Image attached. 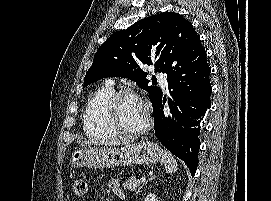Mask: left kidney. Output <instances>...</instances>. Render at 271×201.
Segmentation results:
<instances>
[{"label":"left kidney","mask_w":271,"mask_h":201,"mask_svg":"<svg viewBox=\"0 0 271 201\" xmlns=\"http://www.w3.org/2000/svg\"><path fill=\"white\" fill-rule=\"evenodd\" d=\"M144 201H158L157 200V198H156V195L155 194H153V193H149L147 196H146V198H145V200Z\"/></svg>","instance_id":"left-kidney-1"}]
</instances>
